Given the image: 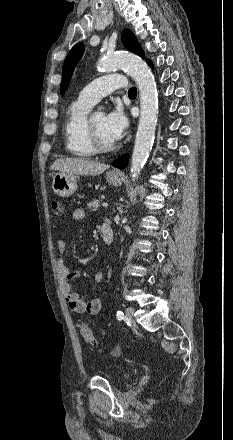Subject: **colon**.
<instances>
[{
  "mask_svg": "<svg viewBox=\"0 0 233 440\" xmlns=\"http://www.w3.org/2000/svg\"><path fill=\"white\" fill-rule=\"evenodd\" d=\"M52 211H53L54 215H56V216H61L63 214V208H62V205L60 204L59 201L54 200L52 202ZM78 327L80 329V333H81L84 341L89 346L98 347V342L96 341L93 332L91 331L88 324L84 320H80L78 322ZM112 354L114 356H119L120 349L116 348L115 350H113Z\"/></svg>",
  "mask_w": 233,
  "mask_h": 440,
  "instance_id": "obj_1",
  "label": "colon"
}]
</instances>
